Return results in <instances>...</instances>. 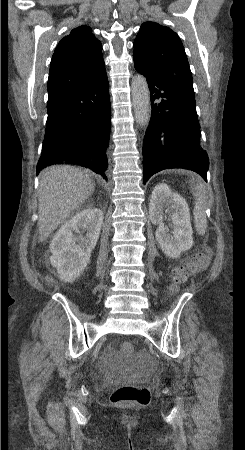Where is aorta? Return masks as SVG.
<instances>
[{"instance_id": "1", "label": "aorta", "mask_w": 245, "mask_h": 450, "mask_svg": "<svg viewBox=\"0 0 245 450\" xmlns=\"http://www.w3.org/2000/svg\"><path fill=\"white\" fill-rule=\"evenodd\" d=\"M132 104L134 107L136 122L144 127L150 119V93L144 76L136 75L132 79Z\"/></svg>"}]
</instances>
